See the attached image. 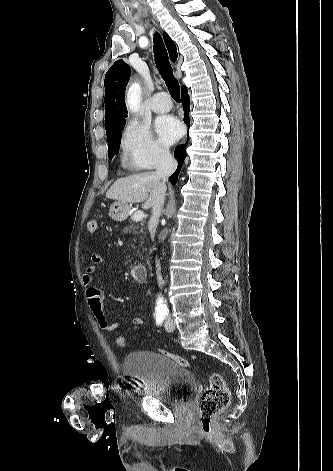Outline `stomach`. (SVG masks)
Listing matches in <instances>:
<instances>
[{
	"mask_svg": "<svg viewBox=\"0 0 333 471\" xmlns=\"http://www.w3.org/2000/svg\"><path fill=\"white\" fill-rule=\"evenodd\" d=\"M129 210V204L116 201L110 206L109 215L115 221H123L128 216Z\"/></svg>",
	"mask_w": 333,
	"mask_h": 471,
	"instance_id": "1",
	"label": "stomach"
}]
</instances>
